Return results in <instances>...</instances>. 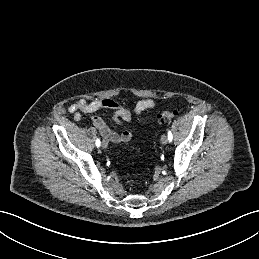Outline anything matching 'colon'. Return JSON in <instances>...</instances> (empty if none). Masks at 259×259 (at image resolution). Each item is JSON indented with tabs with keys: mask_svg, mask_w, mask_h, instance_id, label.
<instances>
[{
	"mask_svg": "<svg viewBox=\"0 0 259 259\" xmlns=\"http://www.w3.org/2000/svg\"><path fill=\"white\" fill-rule=\"evenodd\" d=\"M176 114H177L176 111L165 110V111H162L157 117L159 122L167 123L171 121L176 116Z\"/></svg>",
	"mask_w": 259,
	"mask_h": 259,
	"instance_id": "obj_1",
	"label": "colon"
}]
</instances>
